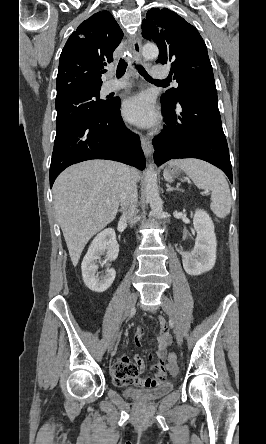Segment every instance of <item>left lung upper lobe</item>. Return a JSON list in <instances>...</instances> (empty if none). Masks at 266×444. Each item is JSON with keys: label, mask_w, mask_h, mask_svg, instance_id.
I'll use <instances>...</instances> for the list:
<instances>
[{"label": "left lung upper lobe", "mask_w": 266, "mask_h": 444, "mask_svg": "<svg viewBox=\"0 0 266 444\" xmlns=\"http://www.w3.org/2000/svg\"><path fill=\"white\" fill-rule=\"evenodd\" d=\"M142 36L159 48L161 64H170L177 88L161 96V103L175 107L184 98L217 96L207 47L197 29L175 12L152 8L142 22Z\"/></svg>", "instance_id": "left-lung-upper-lobe-1"}]
</instances>
